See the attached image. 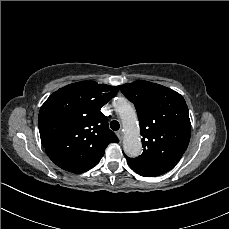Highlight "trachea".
<instances>
[{"instance_id": "trachea-1", "label": "trachea", "mask_w": 229, "mask_h": 229, "mask_svg": "<svg viewBox=\"0 0 229 229\" xmlns=\"http://www.w3.org/2000/svg\"><path fill=\"white\" fill-rule=\"evenodd\" d=\"M110 128H111L112 130H114V131L119 130V128H120L119 122L116 121V120L111 121V122H110Z\"/></svg>"}]
</instances>
